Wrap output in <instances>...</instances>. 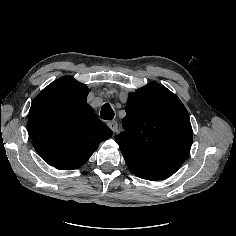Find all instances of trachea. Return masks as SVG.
I'll return each instance as SVG.
<instances>
[{"label": "trachea", "instance_id": "obj_1", "mask_svg": "<svg viewBox=\"0 0 236 236\" xmlns=\"http://www.w3.org/2000/svg\"><path fill=\"white\" fill-rule=\"evenodd\" d=\"M100 115L102 119L110 120L114 117V111L112 110L111 106L107 103L102 106Z\"/></svg>", "mask_w": 236, "mask_h": 236}]
</instances>
